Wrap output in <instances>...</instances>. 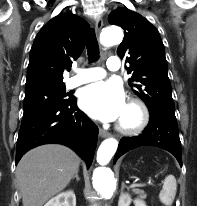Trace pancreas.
<instances>
[{
  "label": "pancreas",
  "instance_id": "obj_1",
  "mask_svg": "<svg viewBox=\"0 0 197 206\" xmlns=\"http://www.w3.org/2000/svg\"><path fill=\"white\" fill-rule=\"evenodd\" d=\"M132 192L138 194L141 198H146V193L141 189L133 188Z\"/></svg>",
  "mask_w": 197,
  "mask_h": 206
}]
</instances>
